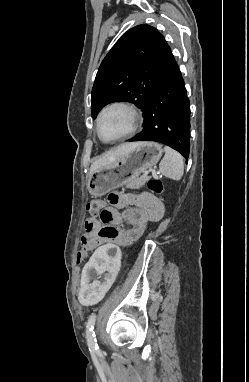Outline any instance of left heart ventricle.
I'll list each match as a JSON object with an SVG mask.
<instances>
[{
  "label": "left heart ventricle",
  "instance_id": "left-heart-ventricle-1",
  "mask_svg": "<svg viewBox=\"0 0 249 382\" xmlns=\"http://www.w3.org/2000/svg\"><path fill=\"white\" fill-rule=\"evenodd\" d=\"M128 129L129 117L125 111L120 109L107 112L100 122L101 135L106 139L124 134Z\"/></svg>",
  "mask_w": 249,
  "mask_h": 382
}]
</instances>
